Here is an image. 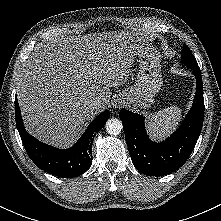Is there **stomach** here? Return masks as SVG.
<instances>
[{
    "label": "stomach",
    "mask_w": 221,
    "mask_h": 221,
    "mask_svg": "<svg viewBox=\"0 0 221 221\" xmlns=\"http://www.w3.org/2000/svg\"><path fill=\"white\" fill-rule=\"evenodd\" d=\"M139 69L135 84L120 94L136 108L147 109L154 101L155 95L162 87L160 55L148 45L137 55Z\"/></svg>",
    "instance_id": "1"
}]
</instances>
